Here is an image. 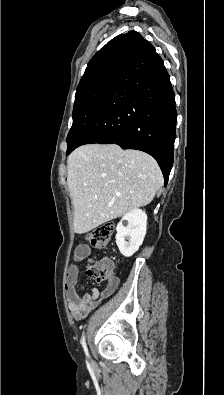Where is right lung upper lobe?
Listing matches in <instances>:
<instances>
[{
    "label": "right lung upper lobe",
    "mask_w": 224,
    "mask_h": 395,
    "mask_svg": "<svg viewBox=\"0 0 224 395\" xmlns=\"http://www.w3.org/2000/svg\"><path fill=\"white\" fill-rule=\"evenodd\" d=\"M144 40L136 31L113 38L92 57L78 87L104 74L122 71Z\"/></svg>",
    "instance_id": "1"
}]
</instances>
